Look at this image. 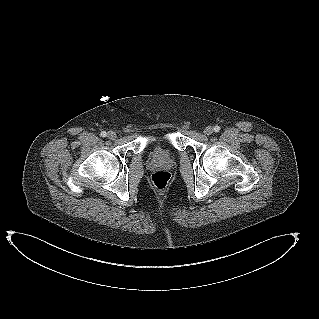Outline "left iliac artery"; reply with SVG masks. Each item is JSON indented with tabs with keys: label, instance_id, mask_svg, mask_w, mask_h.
Returning a JSON list of instances; mask_svg holds the SVG:
<instances>
[{
	"label": "left iliac artery",
	"instance_id": "1",
	"mask_svg": "<svg viewBox=\"0 0 319 319\" xmlns=\"http://www.w3.org/2000/svg\"><path fill=\"white\" fill-rule=\"evenodd\" d=\"M213 129H214L215 132H219L220 131V127L218 125H216Z\"/></svg>",
	"mask_w": 319,
	"mask_h": 319
}]
</instances>
